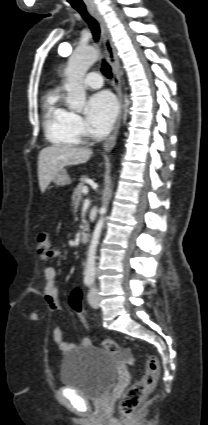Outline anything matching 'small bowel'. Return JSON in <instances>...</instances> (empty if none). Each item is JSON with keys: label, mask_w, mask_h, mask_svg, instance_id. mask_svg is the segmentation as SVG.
Segmentation results:
<instances>
[{"label": "small bowel", "mask_w": 208, "mask_h": 425, "mask_svg": "<svg viewBox=\"0 0 208 425\" xmlns=\"http://www.w3.org/2000/svg\"><path fill=\"white\" fill-rule=\"evenodd\" d=\"M58 255H59L58 251H54L50 255L41 254L40 260L42 262H48L50 258L56 257ZM44 278H45L44 294H45V300H46L47 306L52 312H58L61 310V306L58 300L59 287L57 283L56 270L53 267H46L44 270ZM53 339H54V342L59 347V349L62 350L63 352H68L74 347L73 344L65 341L61 328L58 324L54 326ZM89 343H90V340L88 338H84L81 341L82 345H88Z\"/></svg>", "instance_id": "c3829d8e"}]
</instances>
